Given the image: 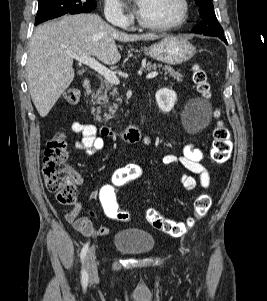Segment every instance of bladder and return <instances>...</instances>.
<instances>
[{"instance_id":"obj_1","label":"bladder","mask_w":267,"mask_h":301,"mask_svg":"<svg viewBox=\"0 0 267 301\" xmlns=\"http://www.w3.org/2000/svg\"><path fill=\"white\" fill-rule=\"evenodd\" d=\"M114 247L129 255H146L153 252L155 239L142 229L126 228L119 230L113 239Z\"/></svg>"}]
</instances>
